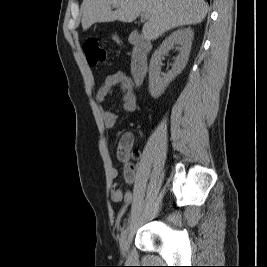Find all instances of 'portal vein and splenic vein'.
<instances>
[{
	"mask_svg": "<svg viewBox=\"0 0 267 267\" xmlns=\"http://www.w3.org/2000/svg\"><path fill=\"white\" fill-rule=\"evenodd\" d=\"M141 17L146 19L147 18V14L146 13H141Z\"/></svg>",
	"mask_w": 267,
	"mask_h": 267,
	"instance_id": "obj_1",
	"label": "portal vein and splenic vein"
}]
</instances>
